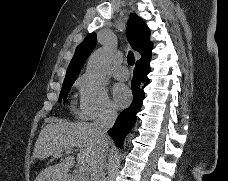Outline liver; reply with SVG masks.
Wrapping results in <instances>:
<instances>
[{"label": "liver", "mask_w": 228, "mask_h": 181, "mask_svg": "<svg viewBox=\"0 0 228 181\" xmlns=\"http://www.w3.org/2000/svg\"><path fill=\"white\" fill-rule=\"evenodd\" d=\"M48 125L42 129L32 153V159L44 161L54 155H63L68 149L78 147V165L90 167L94 157L102 147H109L112 141L98 139L93 123H66L61 119H47ZM33 163V161H31ZM74 157H65L57 165L43 169L35 181H67Z\"/></svg>", "instance_id": "6515ba94"}]
</instances>
